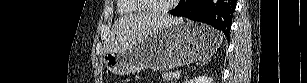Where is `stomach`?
Wrapping results in <instances>:
<instances>
[{
	"mask_svg": "<svg viewBox=\"0 0 307 83\" xmlns=\"http://www.w3.org/2000/svg\"><path fill=\"white\" fill-rule=\"evenodd\" d=\"M220 43L216 30L180 20L136 43L105 52L103 61L111 73L120 76L144 69L165 70L202 59L214 52Z\"/></svg>",
	"mask_w": 307,
	"mask_h": 83,
	"instance_id": "1",
	"label": "stomach"
}]
</instances>
